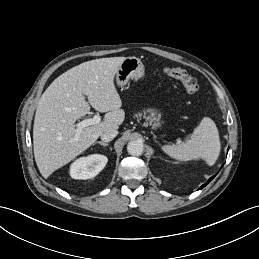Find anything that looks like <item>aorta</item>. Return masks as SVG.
I'll return each mask as SVG.
<instances>
[{
  "label": "aorta",
  "mask_w": 259,
  "mask_h": 259,
  "mask_svg": "<svg viewBox=\"0 0 259 259\" xmlns=\"http://www.w3.org/2000/svg\"><path fill=\"white\" fill-rule=\"evenodd\" d=\"M127 151L132 156H140L144 151V145L141 141H131L127 145Z\"/></svg>",
  "instance_id": "762f6f07"
}]
</instances>
